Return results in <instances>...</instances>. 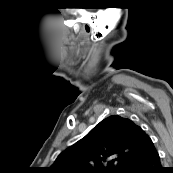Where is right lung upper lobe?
Masks as SVG:
<instances>
[{"label": "right lung upper lobe", "instance_id": "1", "mask_svg": "<svg viewBox=\"0 0 173 173\" xmlns=\"http://www.w3.org/2000/svg\"><path fill=\"white\" fill-rule=\"evenodd\" d=\"M152 148V140L141 127L113 115L63 151L48 173H120L128 162Z\"/></svg>", "mask_w": 173, "mask_h": 173}]
</instances>
